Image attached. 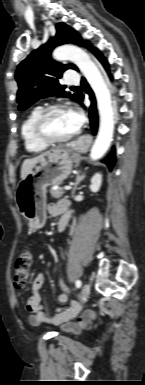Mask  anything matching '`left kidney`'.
Wrapping results in <instances>:
<instances>
[{
    "instance_id": "left-kidney-1",
    "label": "left kidney",
    "mask_w": 145,
    "mask_h": 385,
    "mask_svg": "<svg viewBox=\"0 0 145 385\" xmlns=\"http://www.w3.org/2000/svg\"><path fill=\"white\" fill-rule=\"evenodd\" d=\"M102 184V175L100 173L94 174L91 178L90 190L94 193L98 192Z\"/></svg>"
}]
</instances>
